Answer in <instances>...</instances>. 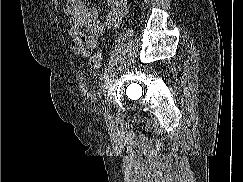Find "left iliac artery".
<instances>
[{"label":"left iliac artery","mask_w":243,"mask_h":182,"mask_svg":"<svg viewBox=\"0 0 243 182\" xmlns=\"http://www.w3.org/2000/svg\"><path fill=\"white\" fill-rule=\"evenodd\" d=\"M103 111H104V117H105L106 122L110 123L111 122V115H110L108 109H106L105 106H103Z\"/></svg>","instance_id":"left-iliac-artery-1"}]
</instances>
